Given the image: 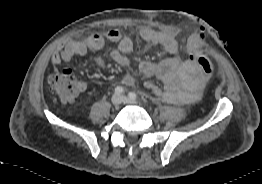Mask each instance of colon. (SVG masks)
I'll return each instance as SVG.
<instances>
[{"mask_svg":"<svg viewBox=\"0 0 262 184\" xmlns=\"http://www.w3.org/2000/svg\"><path fill=\"white\" fill-rule=\"evenodd\" d=\"M194 60L204 75L209 78L214 73V65L204 54H195ZM48 86L52 94L56 95L62 103L74 100L82 86L71 70H63L48 77Z\"/></svg>","mask_w":262,"mask_h":184,"instance_id":"1","label":"colon"}]
</instances>
